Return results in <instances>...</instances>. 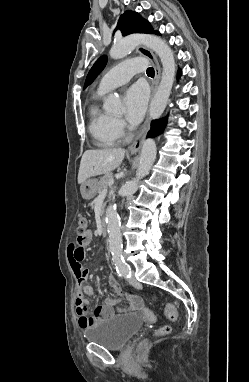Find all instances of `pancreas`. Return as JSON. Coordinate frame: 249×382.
Wrapping results in <instances>:
<instances>
[{
    "label": "pancreas",
    "instance_id": "cf45deb5",
    "mask_svg": "<svg viewBox=\"0 0 249 382\" xmlns=\"http://www.w3.org/2000/svg\"><path fill=\"white\" fill-rule=\"evenodd\" d=\"M113 179V174L111 172L106 173L98 182V193L105 190L109 185V181Z\"/></svg>",
    "mask_w": 249,
    "mask_h": 382
}]
</instances>
